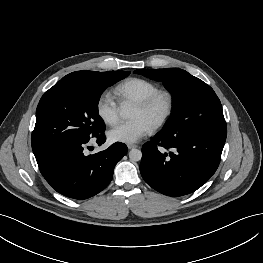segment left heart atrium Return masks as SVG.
<instances>
[{
  "label": "left heart atrium",
  "instance_id": "obj_1",
  "mask_svg": "<svg viewBox=\"0 0 263 263\" xmlns=\"http://www.w3.org/2000/svg\"><path fill=\"white\" fill-rule=\"evenodd\" d=\"M152 126L143 119H133L114 126L108 133L112 142L133 144L150 134Z\"/></svg>",
  "mask_w": 263,
  "mask_h": 263
}]
</instances>
